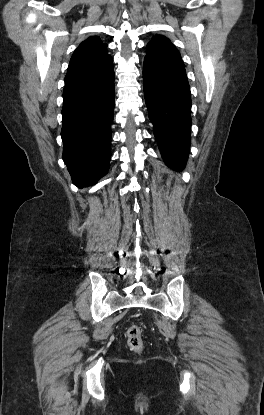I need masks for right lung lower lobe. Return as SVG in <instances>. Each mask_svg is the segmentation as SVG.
I'll use <instances>...</instances> for the list:
<instances>
[{"label": "right lung lower lobe", "mask_w": 264, "mask_h": 415, "mask_svg": "<svg viewBox=\"0 0 264 415\" xmlns=\"http://www.w3.org/2000/svg\"><path fill=\"white\" fill-rule=\"evenodd\" d=\"M114 90L113 71L64 87L62 158L79 188L96 184L108 172Z\"/></svg>", "instance_id": "obj_1"}]
</instances>
